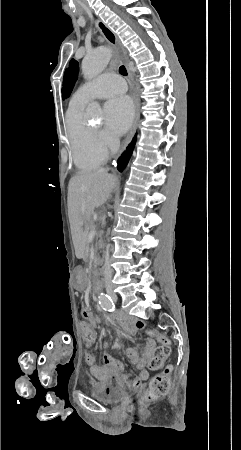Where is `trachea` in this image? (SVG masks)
<instances>
[{"instance_id": "trachea-1", "label": "trachea", "mask_w": 241, "mask_h": 450, "mask_svg": "<svg viewBox=\"0 0 241 450\" xmlns=\"http://www.w3.org/2000/svg\"><path fill=\"white\" fill-rule=\"evenodd\" d=\"M119 73H121V75H124V76L127 75L126 68H125L123 65H121V66L119 67Z\"/></svg>"}]
</instances>
